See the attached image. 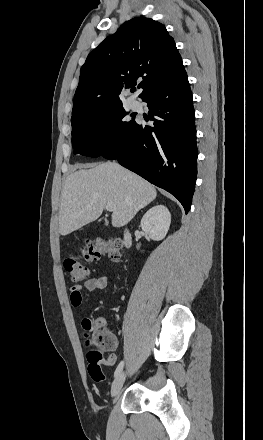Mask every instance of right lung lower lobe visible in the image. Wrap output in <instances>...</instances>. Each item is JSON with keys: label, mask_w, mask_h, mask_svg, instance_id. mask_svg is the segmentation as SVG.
Here are the masks:
<instances>
[{"label": "right lung lower lobe", "mask_w": 263, "mask_h": 440, "mask_svg": "<svg viewBox=\"0 0 263 440\" xmlns=\"http://www.w3.org/2000/svg\"><path fill=\"white\" fill-rule=\"evenodd\" d=\"M154 126L136 124L102 154L173 194L188 213L197 177L195 111L186 71L146 94Z\"/></svg>", "instance_id": "98d812e1"}]
</instances>
